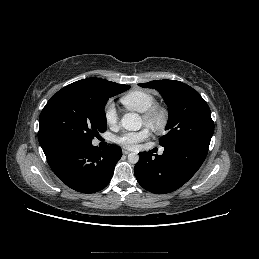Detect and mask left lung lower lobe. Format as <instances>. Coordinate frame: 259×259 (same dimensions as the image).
Wrapping results in <instances>:
<instances>
[{
	"label": "left lung lower lobe",
	"mask_w": 259,
	"mask_h": 259,
	"mask_svg": "<svg viewBox=\"0 0 259 259\" xmlns=\"http://www.w3.org/2000/svg\"><path fill=\"white\" fill-rule=\"evenodd\" d=\"M162 155L139 153L134 167L138 183L146 190L165 194L184 185L200 168L208 148L194 143H176L164 146Z\"/></svg>",
	"instance_id": "1"
}]
</instances>
